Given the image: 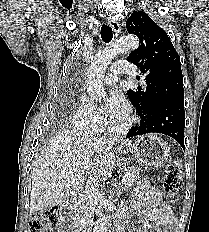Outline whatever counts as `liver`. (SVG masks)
Instances as JSON below:
<instances>
[{"instance_id":"1","label":"liver","mask_w":209,"mask_h":232,"mask_svg":"<svg viewBox=\"0 0 209 232\" xmlns=\"http://www.w3.org/2000/svg\"><path fill=\"white\" fill-rule=\"evenodd\" d=\"M113 145L110 140L75 129L60 131L34 162L30 213L79 194L87 175L88 182L107 180L116 166Z\"/></svg>"}]
</instances>
